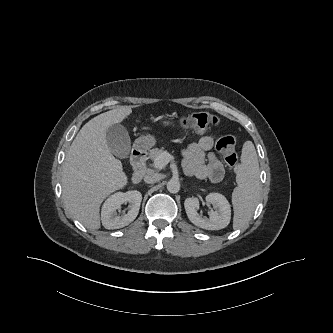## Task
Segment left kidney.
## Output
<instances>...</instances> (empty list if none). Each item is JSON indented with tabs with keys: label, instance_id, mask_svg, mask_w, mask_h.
Instances as JSON below:
<instances>
[{
	"label": "left kidney",
	"instance_id": "1",
	"mask_svg": "<svg viewBox=\"0 0 333 333\" xmlns=\"http://www.w3.org/2000/svg\"><path fill=\"white\" fill-rule=\"evenodd\" d=\"M206 201L213 204L216 211L210 213V217H201L197 213L199 200L196 197L187 198L184 207L189 220L196 226L206 230H219L228 226L231 218V208L228 200L220 193H210Z\"/></svg>",
	"mask_w": 333,
	"mask_h": 333
}]
</instances>
